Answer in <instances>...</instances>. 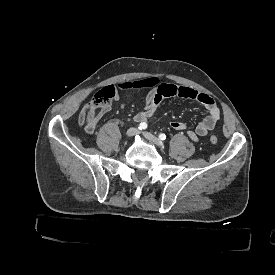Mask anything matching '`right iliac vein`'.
Segmentation results:
<instances>
[{
	"label": "right iliac vein",
	"mask_w": 275,
	"mask_h": 275,
	"mask_svg": "<svg viewBox=\"0 0 275 275\" xmlns=\"http://www.w3.org/2000/svg\"><path fill=\"white\" fill-rule=\"evenodd\" d=\"M138 132H139V131H138L137 128L131 127V128H129V129L127 130L126 136H127L128 138H131V137L135 136Z\"/></svg>",
	"instance_id": "1"
}]
</instances>
